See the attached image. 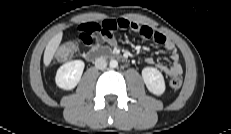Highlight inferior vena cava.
<instances>
[{"mask_svg": "<svg viewBox=\"0 0 231 134\" xmlns=\"http://www.w3.org/2000/svg\"><path fill=\"white\" fill-rule=\"evenodd\" d=\"M107 66V62L104 58L100 57L95 60V67L97 69L103 70Z\"/></svg>", "mask_w": 231, "mask_h": 134, "instance_id": "inferior-vena-cava-1", "label": "inferior vena cava"}]
</instances>
